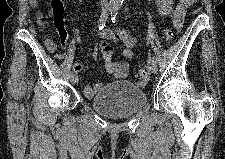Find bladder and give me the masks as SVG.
I'll return each mask as SVG.
<instances>
[{
  "mask_svg": "<svg viewBox=\"0 0 225 159\" xmlns=\"http://www.w3.org/2000/svg\"><path fill=\"white\" fill-rule=\"evenodd\" d=\"M91 106L110 118H128L147 104L145 91L132 81H114L102 86L90 100Z\"/></svg>",
  "mask_w": 225,
  "mask_h": 159,
  "instance_id": "obj_1",
  "label": "bladder"
}]
</instances>
